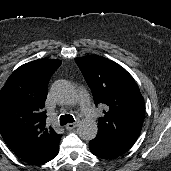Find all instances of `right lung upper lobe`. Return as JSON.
<instances>
[{
    "mask_svg": "<svg viewBox=\"0 0 171 171\" xmlns=\"http://www.w3.org/2000/svg\"><path fill=\"white\" fill-rule=\"evenodd\" d=\"M60 60L39 59L17 68L0 91V133L21 159L47 162L58 149L61 135L45 128L43 110L52 74Z\"/></svg>",
    "mask_w": 171,
    "mask_h": 171,
    "instance_id": "cb5924a9",
    "label": "right lung upper lobe"
}]
</instances>
